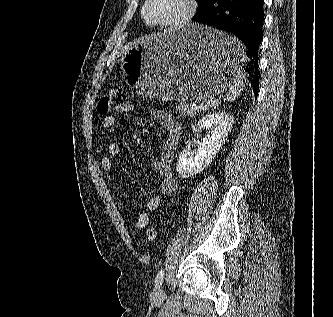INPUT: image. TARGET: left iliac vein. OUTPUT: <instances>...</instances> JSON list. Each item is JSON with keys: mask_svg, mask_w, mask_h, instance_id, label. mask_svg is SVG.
Here are the masks:
<instances>
[{"mask_svg": "<svg viewBox=\"0 0 333 317\" xmlns=\"http://www.w3.org/2000/svg\"><path fill=\"white\" fill-rule=\"evenodd\" d=\"M165 293L161 286H157L154 290V297L156 299H162L164 297Z\"/></svg>", "mask_w": 333, "mask_h": 317, "instance_id": "1", "label": "left iliac vein"}]
</instances>
